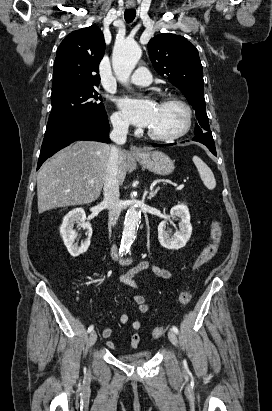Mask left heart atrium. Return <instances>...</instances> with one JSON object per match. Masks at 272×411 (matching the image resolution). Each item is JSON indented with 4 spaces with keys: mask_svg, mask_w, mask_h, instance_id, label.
Returning <instances> with one entry per match:
<instances>
[{
    "mask_svg": "<svg viewBox=\"0 0 272 411\" xmlns=\"http://www.w3.org/2000/svg\"><path fill=\"white\" fill-rule=\"evenodd\" d=\"M119 106L130 123L140 127H150L154 121L158 103L148 98L125 97L119 100Z\"/></svg>",
    "mask_w": 272,
    "mask_h": 411,
    "instance_id": "left-heart-atrium-1",
    "label": "left heart atrium"
}]
</instances>
